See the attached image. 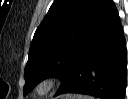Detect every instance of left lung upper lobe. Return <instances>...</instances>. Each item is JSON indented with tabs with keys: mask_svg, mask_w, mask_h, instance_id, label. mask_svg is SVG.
Returning <instances> with one entry per match:
<instances>
[{
	"mask_svg": "<svg viewBox=\"0 0 128 99\" xmlns=\"http://www.w3.org/2000/svg\"><path fill=\"white\" fill-rule=\"evenodd\" d=\"M110 0H55L37 28L25 66L24 94L48 77L61 79Z\"/></svg>",
	"mask_w": 128,
	"mask_h": 99,
	"instance_id": "left-lung-upper-lobe-1",
	"label": "left lung upper lobe"
}]
</instances>
